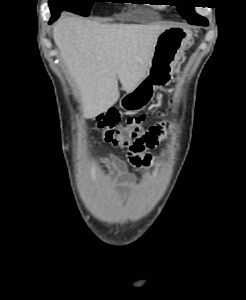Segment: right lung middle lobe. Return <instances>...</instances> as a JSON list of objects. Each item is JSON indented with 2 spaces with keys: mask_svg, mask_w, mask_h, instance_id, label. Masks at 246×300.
Returning a JSON list of instances; mask_svg holds the SVG:
<instances>
[{
  "mask_svg": "<svg viewBox=\"0 0 246 300\" xmlns=\"http://www.w3.org/2000/svg\"><path fill=\"white\" fill-rule=\"evenodd\" d=\"M96 1L107 0H49L52 17L58 16L61 11H69L81 16H88L92 4Z\"/></svg>",
  "mask_w": 246,
  "mask_h": 300,
  "instance_id": "dd1d6c3e",
  "label": "right lung middle lobe"
}]
</instances>
